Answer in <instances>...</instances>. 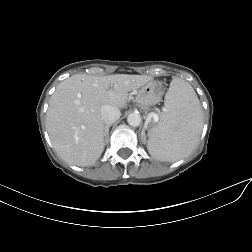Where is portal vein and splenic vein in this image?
Here are the masks:
<instances>
[{
	"label": "portal vein and splenic vein",
	"instance_id": "1",
	"mask_svg": "<svg viewBox=\"0 0 252 252\" xmlns=\"http://www.w3.org/2000/svg\"><path fill=\"white\" fill-rule=\"evenodd\" d=\"M148 119L152 120L155 123H157L158 120H159V117H158V115L156 113L152 112V113L149 114Z\"/></svg>",
	"mask_w": 252,
	"mask_h": 252
}]
</instances>
